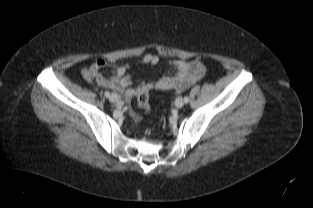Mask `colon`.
Listing matches in <instances>:
<instances>
[{
	"label": "colon",
	"instance_id": "obj_1",
	"mask_svg": "<svg viewBox=\"0 0 313 208\" xmlns=\"http://www.w3.org/2000/svg\"><path fill=\"white\" fill-rule=\"evenodd\" d=\"M136 104L141 110L145 112H148L150 110L149 95L147 91H141L137 94Z\"/></svg>",
	"mask_w": 313,
	"mask_h": 208
}]
</instances>
